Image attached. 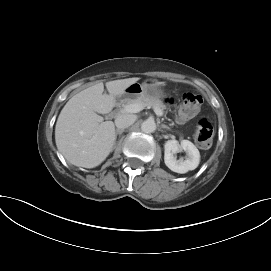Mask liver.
Returning a JSON list of instances; mask_svg holds the SVG:
<instances>
[{"label":"liver","mask_w":271,"mask_h":271,"mask_svg":"<svg viewBox=\"0 0 271 271\" xmlns=\"http://www.w3.org/2000/svg\"><path fill=\"white\" fill-rule=\"evenodd\" d=\"M140 78L133 77L99 82L74 95L61 110L55 127V141L59 152L71 164L94 168L110 154L115 143V126L98 114L109 113L116 98Z\"/></svg>","instance_id":"6515ba94"}]
</instances>
